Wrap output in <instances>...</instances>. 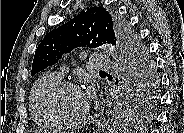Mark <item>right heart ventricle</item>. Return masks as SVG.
I'll list each match as a JSON object with an SVG mask.
<instances>
[{
	"label": "right heart ventricle",
	"mask_w": 184,
	"mask_h": 133,
	"mask_svg": "<svg viewBox=\"0 0 184 133\" xmlns=\"http://www.w3.org/2000/svg\"><path fill=\"white\" fill-rule=\"evenodd\" d=\"M62 81V75L57 72H48L35 82L30 96V110L34 120L41 126L52 127L57 121L52 117L47 106V97L50 90Z\"/></svg>",
	"instance_id": "e07e8e85"
}]
</instances>
